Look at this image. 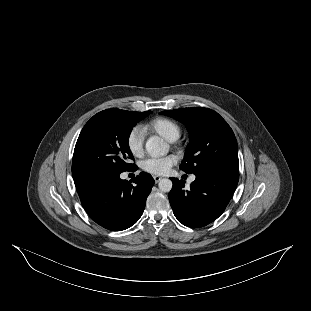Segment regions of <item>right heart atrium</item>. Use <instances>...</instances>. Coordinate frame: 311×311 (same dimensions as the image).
I'll return each instance as SVG.
<instances>
[{"label":"right heart atrium","mask_w":311,"mask_h":311,"mask_svg":"<svg viewBox=\"0 0 311 311\" xmlns=\"http://www.w3.org/2000/svg\"><path fill=\"white\" fill-rule=\"evenodd\" d=\"M145 132L140 125L133 126L126 136V147L131 155L139 157L143 153Z\"/></svg>","instance_id":"right-heart-atrium-1"}]
</instances>
